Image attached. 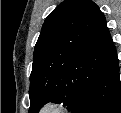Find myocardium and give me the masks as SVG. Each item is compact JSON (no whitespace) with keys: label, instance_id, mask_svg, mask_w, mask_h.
I'll list each match as a JSON object with an SVG mask.
<instances>
[{"label":"myocardium","instance_id":"obj_1","mask_svg":"<svg viewBox=\"0 0 121 113\" xmlns=\"http://www.w3.org/2000/svg\"><path fill=\"white\" fill-rule=\"evenodd\" d=\"M63 105L54 101H48L40 107V113H60Z\"/></svg>","mask_w":121,"mask_h":113}]
</instances>
